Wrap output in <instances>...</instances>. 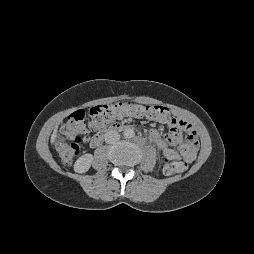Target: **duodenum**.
Instances as JSON below:
<instances>
[{"label": "duodenum", "mask_w": 254, "mask_h": 254, "mask_svg": "<svg viewBox=\"0 0 254 254\" xmlns=\"http://www.w3.org/2000/svg\"><path fill=\"white\" fill-rule=\"evenodd\" d=\"M129 128H130V126H128L124 123H115L111 127L104 129V130L98 132L97 134H95L91 138L90 144L92 147L96 148L102 143L104 137L107 136L109 133H111L113 131H124Z\"/></svg>", "instance_id": "410a0bca"}]
</instances>
